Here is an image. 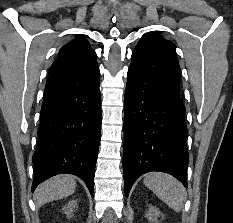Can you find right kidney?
Here are the masks:
<instances>
[{
  "mask_svg": "<svg viewBox=\"0 0 233 223\" xmlns=\"http://www.w3.org/2000/svg\"><path fill=\"white\" fill-rule=\"evenodd\" d=\"M77 207V199H71V201H68L66 205H63V209L65 213H67V217H72L74 215L73 211Z\"/></svg>",
  "mask_w": 233,
  "mask_h": 223,
  "instance_id": "obj_1",
  "label": "right kidney"
}]
</instances>
